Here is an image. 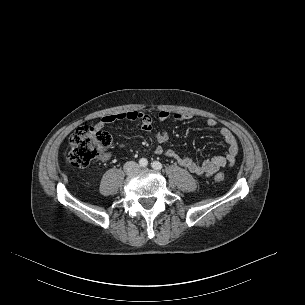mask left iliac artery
Segmentation results:
<instances>
[{
    "label": "left iliac artery",
    "mask_w": 305,
    "mask_h": 305,
    "mask_svg": "<svg viewBox=\"0 0 305 305\" xmlns=\"http://www.w3.org/2000/svg\"><path fill=\"white\" fill-rule=\"evenodd\" d=\"M151 166L156 169V170H161L162 169V164L158 161H154L151 163Z\"/></svg>",
    "instance_id": "44dca946"
}]
</instances>
